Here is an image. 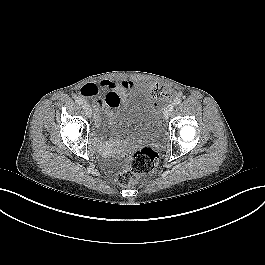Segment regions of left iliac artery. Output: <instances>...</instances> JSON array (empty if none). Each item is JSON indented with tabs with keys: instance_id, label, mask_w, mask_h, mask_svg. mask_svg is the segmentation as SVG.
Wrapping results in <instances>:
<instances>
[{
	"instance_id": "obj_1",
	"label": "left iliac artery",
	"mask_w": 265,
	"mask_h": 265,
	"mask_svg": "<svg viewBox=\"0 0 265 265\" xmlns=\"http://www.w3.org/2000/svg\"><path fill=\"white\" fill-rule=\"evenodd\" d=\"M181 101H182L181 98H175L174 101H173V104L174 105H178V104L181 103Z\"/></svg>"
}]
</instances>
